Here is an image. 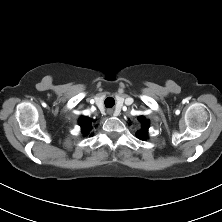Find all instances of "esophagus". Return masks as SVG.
<instances>
[{
  "instance_id": "34e87169",
  "label": "esophagus",
  "mask_w": 222,
  "mask_h": 222,
  "mask_svg": "<svg viewBox=\"0 0 222 222\" xmlns=\"http://www.w3.org/2000/svg\"><path fill=\"white\" fill-rule=\"evenodd\" d=\"M107 113L111 115V114L113 113V110H112V109H108V110H107ZM113 115H114V114H113ZM114 116H115V115H114Z\"/></svg>"
}]
</instances>
